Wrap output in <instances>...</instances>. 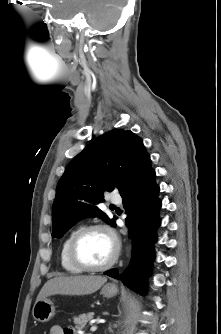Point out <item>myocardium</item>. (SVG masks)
Segmentation results:
<instances>
[{"label": "myocardium", "mask_w": 221, "mask_h": 334, "mask_svg": "<svg viewBox=\"0 0 221 334\" xmlns=\"http://www.w3.org/2000/svg\"><path fill=\"white\" fill-rule=\"evenodd\" d=\"M93 230H103L107 232L114 243V252L111 258L104 264L102 265H88L85 262H83L80 257L78 256L77 253V247L80 239L89 231ZM120 253V241L115 233V231L107 224L103 223H93L89 225H85L78 229L74 236L71 239V242L69 244V258L71 262L77 266L78 268L82 269L83 271H91V272H99V271H104L109 269L114 265V263L117 261Z\"/></svg>", "instance_id": "f54148a6"}]
</instances>
